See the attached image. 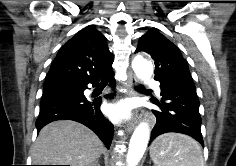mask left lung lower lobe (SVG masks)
I'll return each instance as SVG.
<instances>
[{
  "instance_id": "1",
  "label": "left lung lower lobe",
  "mask_w": 236,
  "mask_h": 166,
  "mask_svg": "<svg viewBox=\"0 0 236 166\" xmlns=\"http://www.w3.org/2000/svg\"><path fill=\"white\" fill-rule=\"evenodd\" d=\"M161 111L153 110L156 124L151 132V141L167 132L183 133L193 137L203 146L199 99L195 84L186 76H172L162 79Z\"/></svg>"
}]
</instances>
